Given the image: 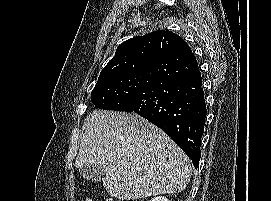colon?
<instances>
[{
  "instance_id": "5ec220e1",
  "label": "colon",
  "mask_w": 271,
  "mask_h": 201,
  "mask_svg": "<svg viewBox=\"0 0 271 201\" xmlns=\"http://www.w3.org/2000/svg\"><path fill=\"white\" fill-rule=\"evenodd\" d=\"M84 201H91L89 198H85V200ZM106 201H115V200H113V199H111V198H108V199H106Z\"/></svg>"
}]
</instances>
